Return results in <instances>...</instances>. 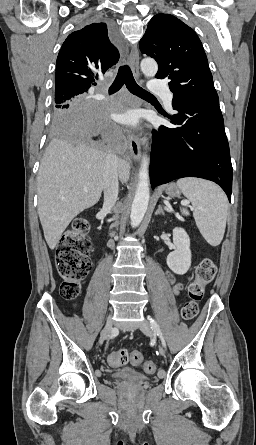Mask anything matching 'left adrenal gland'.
<instances>
[{
	"mask_svg": "<svg viewBox=\"0 0 256 445\" xmlns=\"http://www.w3.org/2000/svg\"><path fill=\"white\" fill-rule=\"evenodd\" d=\"M157 214H164V211H163L161 205L158 206V209H157L156 212H155V215H157Z\"/></svg>",
	"mask_w": 256,
	"mask_h": 445,
	"instance_id": "obj_1",
	"label": "left adrenal gland"
}]
</instances>
